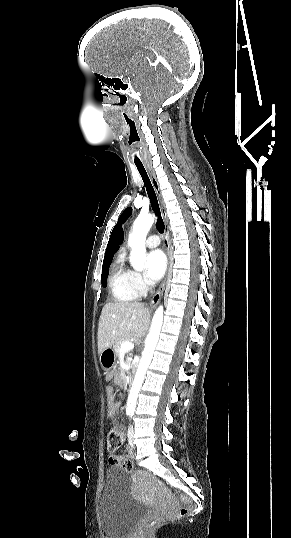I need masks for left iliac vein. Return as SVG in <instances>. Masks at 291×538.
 <instances>
[{"label": "left iliac vein", "instance_id": "1", "mask_svg": "<svg viewBox=\"0 0 291 538\" xmlns=\"http://www.w3.org/2000/svg\"><path fill=\"white\" fill-rule=\"evenodd\" d=\"M133 435H134V428H133V425H131L128 430V441H129V446L131 448H135Z\"/></svg>", "mask_w": 291, "mask_h": 538}]
</instances>
